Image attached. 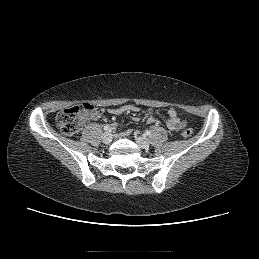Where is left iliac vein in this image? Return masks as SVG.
I'll return each instance as SVG.
<instances>
[{"instance_id": "1", "label": "left iliac vein", "mask_w": 259, "mask_h": 259, "mask_svg": "<svg viewBox=\"0 0 259 259\" xmlns=\"http://www.w3.org/2000/svg\"><path fill=\"white\" fill-rule=\"evenodd\" d=\"M136 143L139 145V147L144 148V149H147L150 146L149 139L146 137H142V136L136 138Z\"/></svg>"}]
</instances>
